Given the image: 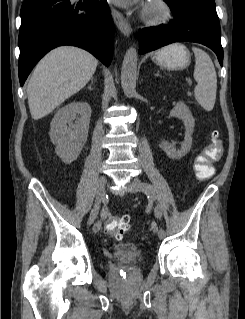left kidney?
Listing matches in <instances>:
<instances>
[{
    "label": "left kidney",
    "mask_w": 245,
    "mask_h": 319,
    "mask_svg": "<svg viewBox=\"0 0 245 319\" xmlns=\"http://www.w3.org/2000/svg\"><path fill=\"white\" fill-rule=\"evenodd\" d=\"M171 117H176L181 119L185 125V138L182 143L181 149L176 150V148L168 143L162 142L161 147L166 152L167 156L172 159H180L184 157L191 149L192 146V134L195 127V119L192 116L189 108L182 102L179 101L176 106L170 111Z\"/></svg>",
    "instance_id": "obj_1"
}]
</instances>
